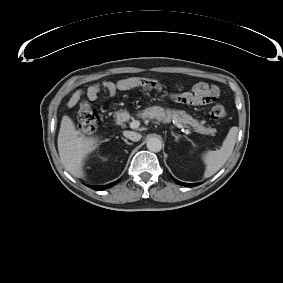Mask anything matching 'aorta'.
<instances>
[{"label":"aorta","mask_w":283,"mask_h":283,"mask_svg":"<svg viewBox=\"0 0 283 283\" xmlns=\"http://www.w3.org/2000/svg\"><path fill=\"white\" fill-rule=\"evenodd\" d=\"M146 146L151 152H159L162 149V141L158 137H150Z\"/></svg>","instance_id":"1"}]
</instances>
